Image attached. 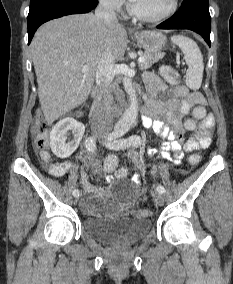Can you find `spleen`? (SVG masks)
Listing matches in <instances>:
<instances>
[{
  "instance_id": "3e777b00",
  "label": "spleen",
  "mask_w": 233,
  "mask_h": 284,
  "mask_svg": "<svg viewBox=\"0 0 233 284\" xmlns=\"http://www.w3.org/2000/svg\"><path fill=\"white\" fill-rule=\"evenodd\" d=\"M171 41L180 47L188 65L186 85L190 89L198 90L201 87L204 70L203 56L198 45L182 35L171 37Z\"/></svg>"
}]
</instances>
